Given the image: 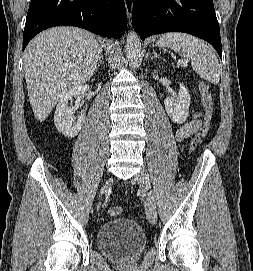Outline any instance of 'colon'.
<instances>
[{
  "label": "colon",
  "mask_w": 253,
  "mask_h": 271,
  "mask_svg": "<svg viewBox=\"0 0 253 271\" xmlns=\"http://www.w3.org/2000/svg\"><path fill=\"white\" fill-rule=\"evenodd\" d=\"M200 90L203 97V107L205 110L204 123L203 126L198 130L194 135L190 143L191 152H195L199 145L202 143L204 138L207 136L208 132L212 126L213 120V97L207 85L204 83L200 84ZM122 212L121 207L119 206H110L108 208V214L110 216L116 217L119 216Z\"/></svg>",
  "instance_id": "obj_1"
}]
</instances>
